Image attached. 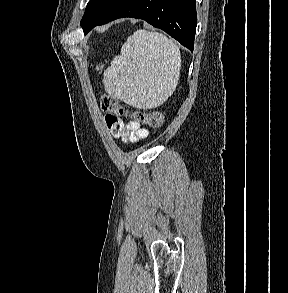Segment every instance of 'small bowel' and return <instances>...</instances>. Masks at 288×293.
<instances>
[{
  "mask_svg": "<svg viewBox=\"0 0 288 293\" xmlns=\"http://www.w3.org/2000/svg\"><path fill=\"white\" fill-rule=\"evenodd\" d=\"M105 123L114 137L125 143H136L149 135L148 130L141 128L135 121H125L113 116L111 113L105 116Z\"/></svg>",
  "mask_w": 288,
  "mask_h": 293,
  "instance_id": "small-bowel-1",
  "label": "small bowel"
}]
</instances>
